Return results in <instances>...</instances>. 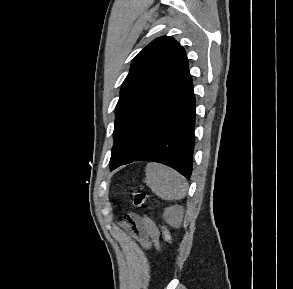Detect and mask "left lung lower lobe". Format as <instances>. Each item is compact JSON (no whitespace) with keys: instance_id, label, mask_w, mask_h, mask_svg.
I'll list each match as a JSON object with an SVG mask.
<instances>
[{"instance_id":"left-lung-lower-lobe-1","label":"left lung lower lobe","mask_w":293,"mask_h":289,"mask_svg":"<svg viewBox=\"0 0 293 289\" xmlns=\"http://www.w3.org/2000/svg\"><path fill=\"white\" fill-rule=\"evenodd\" d=\"M195 97L189 70L145 110L118 142L134 161H152L191 177L194 151ZM121 166V165H120Z\"/></svg>"}]
</instances>
